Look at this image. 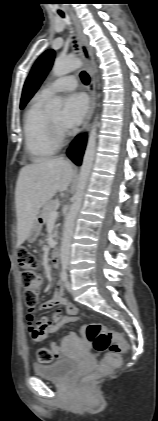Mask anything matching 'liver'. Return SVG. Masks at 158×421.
Masks as SVG:
<instances>
[{
    "instance_id": "1",
    "label": "liver",
    "mask_w": 158,
    "mask_h": 421,
    "mask_svg": "<svg viewBox=\"0 0 158 421\" xmlns=\"http://www.w3.org/2000/svg\"><path fill=\"white\" fill-rule=\"evenodd\" d=\"M73 166L63 158L42 160L21 168L16 183L17 244L28 237L41 207L57 192L68 189Z\"/></svg>"
}]
</instances>
